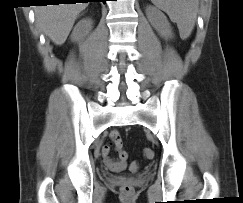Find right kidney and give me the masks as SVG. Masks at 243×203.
<instances>
[{
    "label": "right kidney",
    "mask_w": 243,
    "mask_h": 203,
    "mask_svg": "<svg viewBox=\"0 0 243 203\" xmlns=\"http://www.w3.org/2000/svg\"><path fill=\"white\" fill-rule=\"evenodd\" d=\"M91 29H92L91 19H82L74 27V30L71 34V40L80 41L83 37H85L90 32Z\"/></svg>",
    "instance_id": "ca27d5eb"
}]
</instances>
